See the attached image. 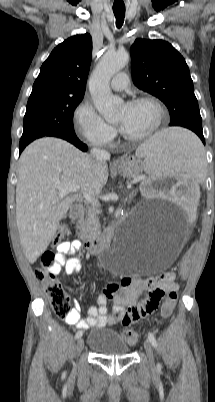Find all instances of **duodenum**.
<instances>
[{
	"label": "duodenum",
	"instance_id": "1",
	"mask_svg": "<svg viewBox=\"0 0 215 402\" xmlns=\"http://www.w3.org/2000/svg\"><path fill=\"white\" fill-rule=\"evenodd\" d=\"M73 220H79L83 216V208L81 206H75L70 214ZM112 232L108 231L105 236L100 239L88 240L85 243L86 249L93 255H101L106 252L111 245Z\"/></svg>",
	"mask_w": 215,
	"mask_h": 402
}]
</instances>
